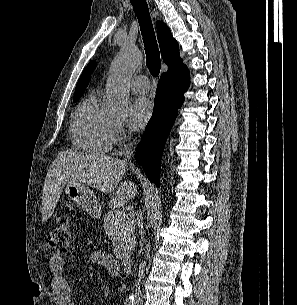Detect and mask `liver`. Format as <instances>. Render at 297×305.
<instances>
[{
    "instance_id": "obj_1",
    "label": "liver",
    "mask_w": 297,
    "mask_h": 305,
    "mask_svg": "<svg viewBox=\"0 0 297 305\" xmlns=\"http://www.w3.org/2000/svg\"><path fill=\"white\" fill-rule=\"evenodd\" d=\"M126 169L127 163L117 158L73 150L60 152L44 182L42 221L52 216L63 187L69 182L86 184L104 193L113 192L110 206H123L137 194V187L131 181H124L117 188Z\"/></svg>"
}]
</instances>
